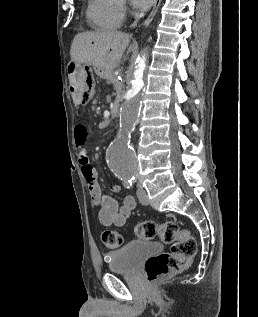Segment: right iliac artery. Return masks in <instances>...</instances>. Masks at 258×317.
I'll list each match as a JSON object with an SVG mask.
<instances>
[{
  "label": "right iliac artery",
  "mask_w": 258,
  "mask_h": 317,
  "mask_svg": "<svg viewBox=\"0 0 258 317\" xmlns=\"http://www.w3.org/2000/svg\"><path fill=\"white\" fill-rule=\"evenodd\" d=\"M121 180L123 181V185L126 189H130L132 186V182L131 179L129 178H121Z\"/></svg>",
  "instance_id": "1"
}]
</instances>
